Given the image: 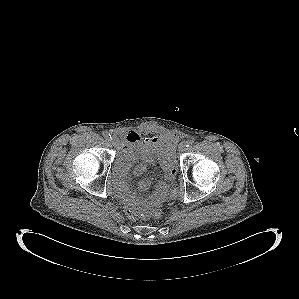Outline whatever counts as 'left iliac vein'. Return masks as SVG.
I'll use <instances>...</instances> for the list:
<instances>
[{"mask_svg":"<svg viewBox=\"0 0 299 299\" xmlns=\"http://www.w3.org/2000/svg\"><path fill=\"white\" fill-rule=\"evenodd\" d=\"M187 150L186 142H181L179 145V152H185Z\"/></svg>","mask_w":299,"mask_h":299,"instance_id":"4c4485c4","label":"left iliac vein"}]
</instances>
